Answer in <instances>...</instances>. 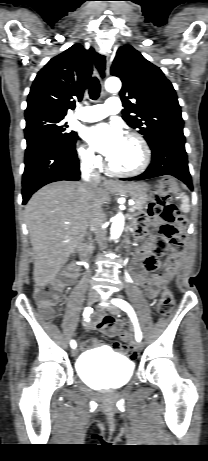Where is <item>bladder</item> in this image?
Here are the masks:
<instances>
[{"label":"bladder","mask_w":208,"mask_h":461,"mask_svg":"<svg viewBox=\"0 0 208 461\" xmlns=\"http://www.w3.org/2000/svg\"><path fill=\"white\" fill-rule=\"evenodd\" d=\"M133 369L129 358L104 350L85 353L76 363L78 376L97 390L124 387L131 380Z\"/></svg>","instance_id":"bladder-1"}]
</instances>
